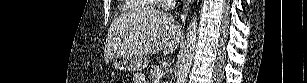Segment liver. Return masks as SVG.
I'll use <instances>...</instances> for the list:
<instances>
[{"label": "liver", "mask_w": 307, "mask_h": 83, "mask_svg": "<svg viewBox=\"0 0 307 83\" xmlns=\"http://www.w3.org/2000/svg\"><path fill=\"white\" fill-rule=\"evenodd\" d=\"M181 28L173 16L156 10L123 14L116 18L107 33L104 59L118 55L144 57L163 51L172 53L180 42Z\"/></svg>", "instance_id": "liver-1"}]
</instances>
